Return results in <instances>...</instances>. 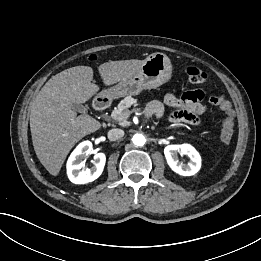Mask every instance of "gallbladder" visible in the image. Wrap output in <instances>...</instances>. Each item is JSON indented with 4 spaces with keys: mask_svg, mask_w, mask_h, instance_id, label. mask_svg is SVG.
<instances>
[{
    "mask_svg": "<svg viewBox=\"0 0 261 261\" xmlns=\"http://www.w3.org/2000/svg\"><path fill=\"white\" fill-rule=\"evenodd\" d=\"M71 107L72 109L80 113H85L87 111V109L82 104L73 103Z\"/></svg>",
    "mask_w": 261,
    "mask_h": 261,
    "instance_id": "obj_1",
    "label": "gallbladder"
}]
</instances>
